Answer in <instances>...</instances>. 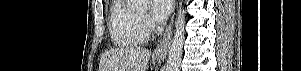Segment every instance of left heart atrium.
<instances>
[{
    "label": "left heart atrium",
    "instance_id": "left-heart-atrium-1",
    "mask_svg": "<svg viewBox=\"0 0 301 71\" xmlns=\"http://www.w3.org/2000/svg\"><path fill=\"white\" fill-rule=\"evenodd\" d=\"M151 11L158 19L165 18L172 7V0H151Z\"/></svg>",
    "mask_w": 301,
    "mask_h": 71
}]
</instances>
